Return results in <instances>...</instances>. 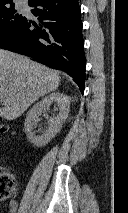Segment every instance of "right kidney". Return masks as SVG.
Returning a JSON list of instances; mask_svg holds the SVG:
<instances>
[{
	"label": "right kidney",
	"instance_id": "right-kidney-1",
	"mask_svg": "<svg viewBox=\"0 0 128 213\" xmlns=\"http://www.w3.org/2000/svg\"><path fill=\"white\" fill-rule=\"evenodd\" d=\"M52 103L58 104L59 114L48 120L47 127L42 135H36L34 128L38 123L39 115L48 110ZM69 109L70 101L68 96L60 92H53L34 104L28 111L24 122L28 140L37 147L45 146L61 130L62 124L68 117Z\"/></svg>",
	"mask_w": 128,
	"mask_h": 213
}]
</instances>
